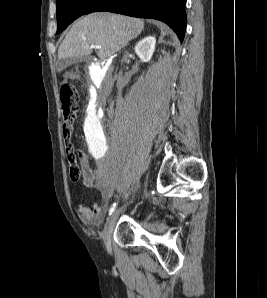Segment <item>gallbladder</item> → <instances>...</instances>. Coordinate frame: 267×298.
I'll return each instance as SVG.
<instances>
[{
    "instance_id": "gallbladder-1",
    "label": "gallbladder",
    "mask_w": 267,
    "mask_h": 298,
    "mask_svg": "<svg viewBox=\"0 0 267 298\" xmlns=\"http://www.w3.org/2000/svg\"><path fill=\"white\" fill-rule=\"evenodd\" d=\"M87 59H88L87 56H83L76 59H59L57 62V69L62 70L76 62L86 61Z\"/></svg>"
}]
</instances>
